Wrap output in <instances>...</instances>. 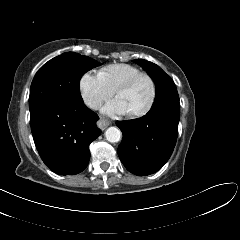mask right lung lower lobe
<instances>
[{
  "mask_svg": "<svg viewBox=\"0 0 240 240\" xmlns=\"http://www.w3.org/2000/svg\"><path fill=\"white\" fill-rule=\"evenodd\" d=\"M98 119L84 102L55 103L31 114L33 139L45 165L59 175L82 172L89 163V145L101 133Z\"/></svg>",
  "mask_w": 240,
  "mask_h": 240,
  "instance_id": "obj_1",
  "label": "right lung lower lobe"
}]
</instances>
